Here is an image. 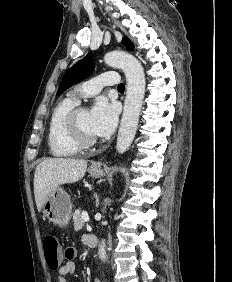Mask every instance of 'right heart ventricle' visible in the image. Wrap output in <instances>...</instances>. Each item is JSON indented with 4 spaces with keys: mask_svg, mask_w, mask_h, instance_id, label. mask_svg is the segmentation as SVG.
<instances>
[{
    "mask_svg": "<svg viewBox=\"0 0 232 282\" xmlns=\"http://www.w3.org/2000/svg\"><path fill=\"white\" fill-rule=\"evenodd\" d=\"M77 105V100L71 96L61 99L53 108L47 134V142L51 155L55 157H70L80 150L68 137L65 129L67 113Z\"/></svg>",
    "mask_w": 232,
    "mask_h": 282,
    "instance_id": "obj_1",
    "label": "right heart ventricle"
}]
</instances>
